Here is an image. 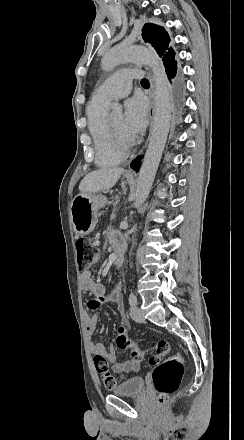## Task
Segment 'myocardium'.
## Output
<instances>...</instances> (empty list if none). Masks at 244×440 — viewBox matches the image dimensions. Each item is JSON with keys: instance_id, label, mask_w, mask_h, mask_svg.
<instances>
[{"instance_id": "myocardium-1", "label": "myocardium", "mask_w": 244, "mask_h": 440, "mask_svg": "<svg viewBox=\"0 0 244 440\" xmlns=\"http://www.w3.org/2000/svg\"><path fill=\"white\" fill-rule=\"evenodd\" d=\"M105 125L107 127V129L109 131H111V133L109 134L112 138H111V142L113 143L112 145L114 147H120L122 144L125 142V139L123 138L124 136V132L123 131H115L112 129V127L110 126V124L108 123L107 119L105 120ZM120 137V138H119Z\"/></svg>"}]
</instances>
